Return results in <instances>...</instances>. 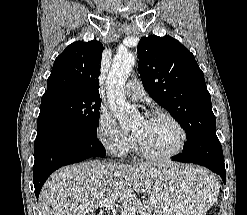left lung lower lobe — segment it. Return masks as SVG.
Instances as JSON below:
<instances>
[{
    "label": "left lung lower lobe",
    "mask_w": 247,
    "mask_h": 215,
    "mask_svg": "<svg viewBox=\"0 0 247 215\" xmlns=\"http://www.w3.org/2000/svg\"><path fill=\"white\" fill-rule=\"evenodd\" d=\"M194 151H183L173 157V161L195 163L207 167L221 176L226 183V170L221 144L217 137L212 139H197Z\"/></svg>",
    "instance_id": "obj_1"
}]
</instances>
